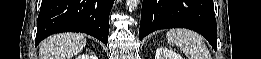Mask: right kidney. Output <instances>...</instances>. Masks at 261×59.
I'll return each instance as SVG.
<instances>
[{
  "instance_id": "1",
  "label": "right kidney",
  "mask_w": 261,
  "mask_h": 59,
  "mask_svg": "<svg viewBox=\"0 0 261 59\" xmlns=\"http://www.w3.org/2000/svg\"><path fill=\"white\" fill-rule=\"evenodd\" d=\"M77 59H97V57L96 56H89L87 54H85V55L83 54L81 56H78Z\"/></svg>"
}]
</instances>
